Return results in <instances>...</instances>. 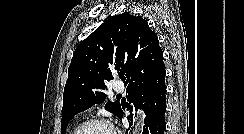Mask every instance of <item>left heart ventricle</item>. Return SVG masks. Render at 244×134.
<instances>
[{
	"instance_id": "1",
	"label": "left heart ventricle",
	"mask_w": 244,
	"mask_h": 134,
	"mask_svg": "<svg viewBox=\"0 0 244 134\" xmlns=\"http://www.w3.org/2000/svg\"><path fill=\"white\" fill-rule=\"evenodd\" d=\"M82 134H113L112 131L102 125H93L85 129Z\"/></svg>"
}]
</instances>
